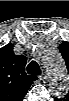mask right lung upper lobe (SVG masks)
<instances>
[{
	"mask_svg": "<svg viewBox=\"0 0 69 101\" xmlns=\"http://www.w3.org/2000/svg\"><path fill=\"white\" fill-rule=\"evenodd\" d=\"M25 62L23 55L16 56L15 61L10 62L9 67H1L3 73L1 93L9 99L23 98L32 82L37 79L35 76L26 75Z\"/></svg>",
	"mask_w": 69,
	"mask_h": 101,
	"instance_id": "obj_1",
	"label": "right lung upper lobe"
}]
</instances>
